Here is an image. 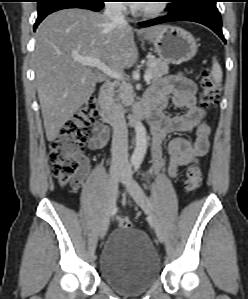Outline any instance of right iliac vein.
<instances>
[{
  "label": "right iliac vein",
  "instance_id": "63e3f726",
  "mask_svg": "<svg viewBox=\"0 0 248 299\" xmlns=\"http://www.w3.org/2000/svg\"><path fill=\"white\" fill-rule=\"evenodd\" d=\"M122 167L119 165H113L110 169L109 183H108V198H107V209L102 221V226L100 230V238H104L109 224L110 217L113 209L115 208L117 193H118V182L120 179Z\"/></svg>",
  "mask_w": 248,
  "mask_h": 299
}]
</instances>
